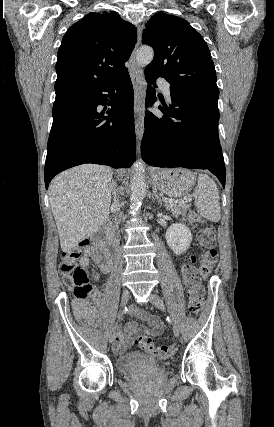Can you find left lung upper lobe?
Masks as SVG:
<instances>
[{
  "label": "left lung upper lobe",
  "mask_w": 274,
  "mask_h": 427,
  "mask_svg": "<svg viewBox=\"0 0 274 427\" xmlns=\"http://www.w3.org/2000/svg\"><path fill=\"white\" fill-rule=\"evenodd\" d=\"M142 42L155 52L145 72L164 77L175 90L218 99L209 48L186 20L159 12L145 25Z\"/></svg>",
  "instance_id": "5c2ea615"
}]
</instances>
